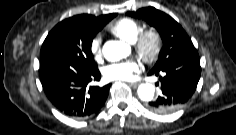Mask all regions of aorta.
Here are the masks:
<instances>
[{"label": "aorta", "mask_w": 236, "mask_h": 135, "mask_svg": "<svg viewBox=\"0 0 236 135\" xmlns=\"http://www.w3.org/2000/svg\"><path fill=\"white\" fill-rule=\"evenodd\" d=\"M130 46L123 41H107L103 46L104 57L111 62L119 61L129 56ZM138 96L142 101H151L155 87L150 83H143L138 87Z\"/></svg>", "instance_id": "obj_1"}]
</instances>
